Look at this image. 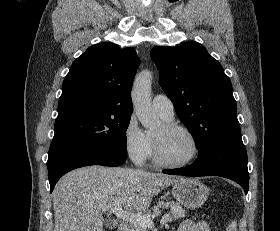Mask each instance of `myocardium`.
<instances>
[{"label": "myocardium", "instance_id": "obj_1", "mask_svg": "<svg viewBox=\"0 0 280 231\" xmlns=\"http://www.w3.org/2000/svg\"><path fill=\"white\" fill-rule=\"evenodd\" d=\"M164 126L170 130H179V131H183V132L187 133L194 142L195 151H194L193 156L186 161L172 162L163 156L157 139L153 138L154 159H155L156 163L159 164L160 166L169 167V168H181V167L189 166L192 163H194L198 159L200 152H201V144H200L199 138L197 137L196 133L191 128H189L183 124L173 122V121H166L164 123Z\"/></svg>", "mask_w": 280, "mask_h": 231}]
</instances>
